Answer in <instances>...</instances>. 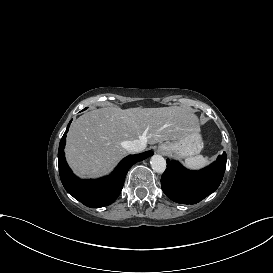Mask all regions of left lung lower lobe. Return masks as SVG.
I'll return each mask as SVG.
<instances>
[{
	"label": "left lung lower lobe",
	"instance_id": "0a47b994",
	"mask_svg": "<svg viewBox=\"0 0 273 273\" xmlns=\"http://www.w3.org/2000/svg\"><path fill=\"white\" fill-rule=\"evenodd\" d=\"M226 159L224 152L218 156L216 162L199 171H189L178 162L167 159V169L161 177L163 192L177 203L200 202L220 185L226 168Z\"/></svg>",
	"mask_w": 273,
	"mask_h": 273
}]
</instances>
